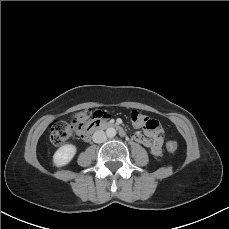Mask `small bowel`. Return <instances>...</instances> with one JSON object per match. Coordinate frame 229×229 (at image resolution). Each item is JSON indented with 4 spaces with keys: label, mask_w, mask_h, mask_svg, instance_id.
<instances>
[{
    "label": "small bowel",
    "mask_w": 229,
    "mask_h": 229,
    "mask_svg": "<svg viewBox=\"0 0 229 229\" xmlns=\"http://www.w3.org/2000/svg\"><path fill=\"white\" fill-rule=\"evenodd\" d=\"M147 134L151 136V138H147L141 132H135L132 137L135 141L139 142L143 146L150 149L151 153L154 156H159L162 151L163 139L160 134V130L151 131L148 130Z\"/></svg>",
    "instance_id": "c3829d8e"
}]
</instances>
